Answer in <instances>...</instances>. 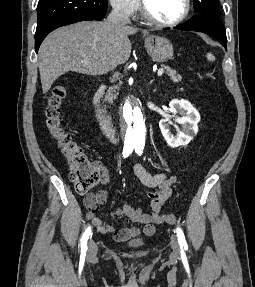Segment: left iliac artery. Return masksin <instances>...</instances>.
I'll return each mask as SVG.
<instances>
[{
  "mask_svg": "<svg viewBox=\"0 0 255 287\" xmlns=\"http://www.w3.org/2000/svg\"><path fill=\"white\" fill-rule=\"evenodd\" d=\"M136 153L138 155H141L142 154V148L140 147H136L135 149ZM177 236H178V242L181 246H186L187 243H186V240H185V236H184V233L183 231L180 229V228H177Z\"/></svg>",
  "mask_w": 255,
  "mask_h": 287,
  "instance_id": "44dca946",
  "label": "left iliac artery"
}]
</instances>
